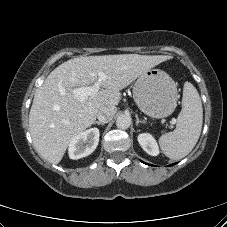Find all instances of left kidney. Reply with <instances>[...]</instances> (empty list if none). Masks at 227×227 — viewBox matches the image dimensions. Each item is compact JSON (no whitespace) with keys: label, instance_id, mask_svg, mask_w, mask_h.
<instances>
[{"label":"left kidney","instance_id":"left-kidney-1","mask_svg":"<svg viewBox=\"0 0 227 227\" xmlns=\"http://www.w3.org/2000/svg\"><path fill=\"white\" fill-rule=\"evenodd\" d=\"M138 142L143 150L151 156L159 154V148L154 137L149 133H142L138 135Z\"/></svg>","mask_w":227,"mask_h":227}]
</instances>
